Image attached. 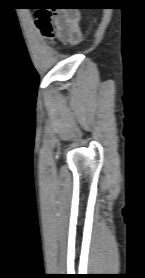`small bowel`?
Masks as SVG:
<instances>
[{
    "mask_svg": "<svg viewBox=\"0 0 145 278\" xmlns=\"http://www.w3.org/2000/svg\"><path fill=\"white\" fill-rule=\"evenodd\" d=\"M73 22L76 24V27L71 29L69 25ZM55 31L56 38L64 43L76 44L82 37L81 27L76 14L71 12L57 11Z\"/></svg>",
    "mask_w": 145,
    "mask_h": 278,
    "instance_id": "obj_1",
    "label": "small bowel"
}]
</instances>
